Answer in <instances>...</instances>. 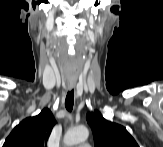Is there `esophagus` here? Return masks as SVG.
Listing matches in <instances>:
<instances>
[{"mask_svg":"<svg viewBox=\"0 0 163 147\" xmlns=\"http://www.w3.org/2000/svg\"><path fill=\"white\" fill-rule=\"evenodd\" d=\"M74 87H75V83H73V82L68 83V89L69 90H72Z\"/></svg>","mask_w":163,"mask_h":147,"instance_id":"34e87169","label":"esophagus"}]
</instances>
